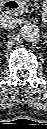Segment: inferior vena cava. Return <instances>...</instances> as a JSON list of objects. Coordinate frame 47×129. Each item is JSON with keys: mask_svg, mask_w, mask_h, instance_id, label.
<instances>
[{"mask_svg": "<svg viewBox=\"0 0 47 129\" xmlns=\"http://www.w3.org/2000/svg\"><path fill=\"white\" fill-rule=\"evenodd\" d=\"M19 20L13 16H4L0 20L1 28L5 30H11L17 27Z\"/></svg>", "mask_w": 47, "mask_h": 129, "instance_id": "obj_1", "label": "inferior vena cava"}]
</instances>
